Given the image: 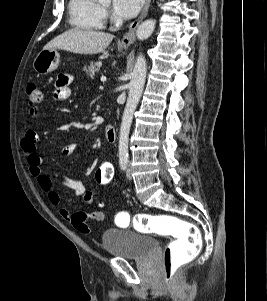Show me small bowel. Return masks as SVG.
<instances>
[{"label": "small bowel", "instance_id": "obj_1", "mask_svg": "<svg viewBox=\"0 0 267 301\" xmlns=\"http://www.w3.org/2000/svg\"><path fill=\"white\" fill-rule=\"evenodd\" d=\"M72 80L73 77L69 73H61L57 76L54 89V98L57 101H65L70 97V85ZM37 113L38 111L35 108L30 110L31 115H37ZM38 141V133L34 129L29 128L21 140V149L27 157L30 173L37 179L38 185L47 194L50 202L54 205H58L60 203V196L54 189L53 180L42 170V159L37 153ZM77 146L78 144L76 142L66 144L62 148V154L67 157L73 155ZM62 182L71 188L77 196H84L86 202L90 203L94 200V194L90 191H86V188L81 181L62 177ZM60 215L63 218L70 220L72 225L82 233H88L90 231L88 226L89 219L100 221L104 217L102 212H93L91 214H86L84 212L72 213L66 208L60 209Z\"/></svg>", "mask_w": 267, "mask_h": 301}]
</instances>
